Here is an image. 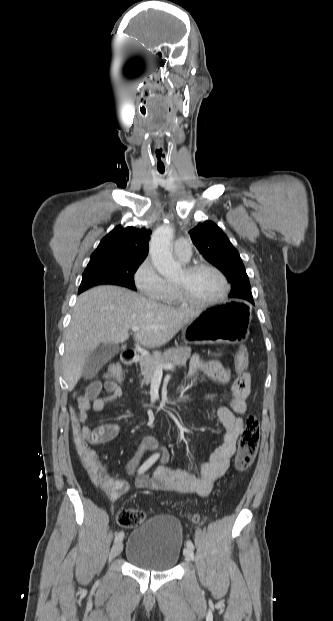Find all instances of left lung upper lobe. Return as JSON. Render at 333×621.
I'll return each instance as SVG.
<instances>
[{
  "mask_svg": "<svg viewBox=\"0 0 333 621\" xmlns=\"http://www.w3.org/2000/svg\"><path fill=\"white\" fill-rule=\"evenodd\" d=\"M189 233L203 257L229 277V297L254 304L245 267L226 234L212 221L199 223Z\"/></svg>",
  "mask_w": 333,
  "mask_h": 621,
  "instance_id": "left-lung-upper-lobe-1",
  "label": "left lung upper lobe"
}]
</instances>
